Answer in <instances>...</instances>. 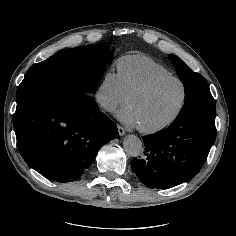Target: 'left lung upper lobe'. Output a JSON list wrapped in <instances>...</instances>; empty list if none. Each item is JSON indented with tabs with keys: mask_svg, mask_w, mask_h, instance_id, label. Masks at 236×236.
<instances>
[{
	"mask_svg": "<svg viewBox=\"0 0 236 236\" xmlns=\"http://www.w3.org/2000/svg\"><path fill=\"white\" fill-rule=\"evenodd\" d=\"M168 57L185 88V103L177 117L189 113L215 114V101L204 77L192 71L175 55L169 54Z\"/></svg>",
	"mask_w": 236,
	"mask_h": 236,
	"instance_id": "left-lung-upper-lobe-1",
	"label": "left lung upper lobe"
}]
</instances>
